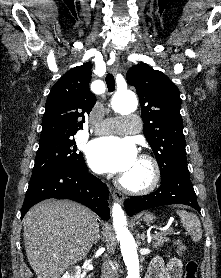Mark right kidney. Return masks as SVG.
I'll use <instances>...</instances> for the list:
<instances>
[{
    "label": "right kidney",
    "mask_w": 221,
    "mask_h": 278,
    "mask_svg": "<svg viewBox=\"0 0 221 278\" xmlns=\"http://www.w3.org/2000/svg\"><path fill=\"white\" fill-rule=\"evenodd\" d=\"M61 278H81V268L79 266L71 267Z\"/></svg>",
    "instance_id": "obj_1"
}]
</instances>
